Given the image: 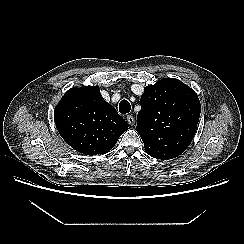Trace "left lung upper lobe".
I'll return each mask as SVG.
<instances>
[{"label":"left lung upper lobe","mask_w":244,"mask_h":244,"mask_svg":"<svg viewBox=\"0 0 244 244\" xmlns=\"http://www.w3.org/2000/svg\"><path fill=\"white\" fill-rule=\"evenodd\" d=\"M200 111L194 90L178 79L146 87L136 126L146 153L162 160L182 154L194 138Z\"/></svg>","instance_id":"obj_1"}]
</instances>
